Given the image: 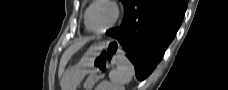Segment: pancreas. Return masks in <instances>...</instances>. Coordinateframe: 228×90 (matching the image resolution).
I'll return each mask as SVG.
<instances>
[{
	"label": "pancreas",
	"mask_w": 228,
	"mask_h": 90,
	"mask_svg": "<svg viewBox=\"0 0 228 90\" xmlns=\"http://www.w3.org/2000/svg\"><path fill=\"white\" fill-rule=\"evenodd\" d=\"M99 77L95 75H90L84 82V88L86 90H91L94 84L98 81Z\"/></svg>",
	"instance_id": "obj_1"
}]
</instances>
